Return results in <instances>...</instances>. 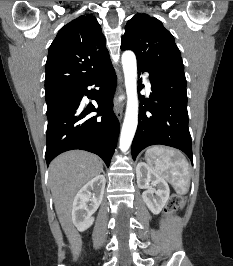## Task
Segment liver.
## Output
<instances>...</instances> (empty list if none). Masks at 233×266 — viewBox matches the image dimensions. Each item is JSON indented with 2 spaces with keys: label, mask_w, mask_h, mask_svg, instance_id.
I'll return each mask as SVG.
<instances>
[{
  "label": "liver",
  "mask_w": 233,
  "mask_h": 266,
  "mask_svg": "<svg viewBox=\"0 0 233 266\" xmlns=\"http://www.w3.org/2000/svg\"><path fill=\"white\" fill-rule=\"evenodd\" d=\"M102 170L103 164L96 155L80 150L59 155L49 166V184L55 210L70 241L74 237L71 220L73 199L77 191Z\"/></svg>",
  "instance_id": "obj_1"
}]
</instances>
